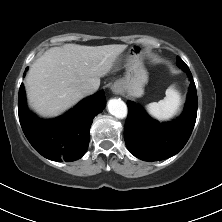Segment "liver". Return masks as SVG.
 I'll list each match as a JSON object with an SVG mask.
<instances>
[{
	"label": "liver",
	"instance_id": "liver-1",
	"mask_svg": "<svg viewBox=\"0 0 222 222\" xmlns=\"http://www.w3.org/2000/svg\"><path fill=\"white\" fill-rule=\"evenodd\" d=\"M127 45L65 44L48 49L30 67L26 91L30 107L42 117H55L78 103L80 86L97 89Z\"/></svg>",
	"mask_w": 222,
	"mask_h": 222
}]
</instances>
